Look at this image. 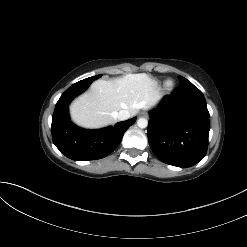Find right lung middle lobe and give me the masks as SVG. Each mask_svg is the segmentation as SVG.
Here are the masks:
<instances>
[{"mask_svg": "<svg viewBox=\"0 0 247 247\" xmlns=\"http://www.w3.org/2000/svg\"><path fill=\"white\" fill-rule=\"evenodd\" d=\"M102 75H96V76H93V77H89V78H86L84 80H81L79 81L80 83H83V84H90L92 83L94 80L100 78Z\"/></svg>", "mask_w": 247, "mask_h": 247, "instance_id": "dd1d6c3e", "label": "right lung middle lobe"}]
</instances>
